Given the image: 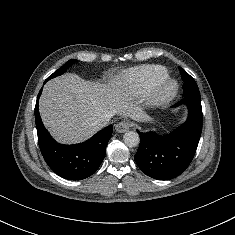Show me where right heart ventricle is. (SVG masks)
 <instances>
[{
  "mask_svg": "<svg viewBox=\"0 0 235 235\" xmlns=\"http://www.w3.org/2000/svg\"><path fill=\"white\" fill-rule=\"evenodd\" d=\"M168 76L166 68L145 64L127 70L123 74L124 87L134 96H144L159 79Z\"/></svg>",
  "mask_w": 235,
  "mask_h": 235,
  "instance_id": "obj_1",
  "label": "right heart ventricle"
}]
</instances>
